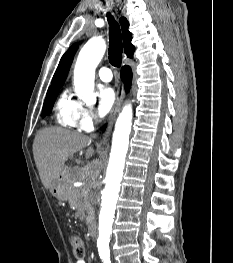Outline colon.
Segmentation results:
<instances>
[{
    "mask_svg": "<svg viewBox=\"0 0 233 263\" xmlns=\"http://www.w3.org/2000/svg\"><path fill=\"white\" fill-rule=\"evenodd\" d=\"M71 245L73 248L74 258L81 260L85 257V244L79 235L73 234L70 236Z\"/></svg>",
    "mask_w": 233,
    "mask_h": 263,
    "instance_id": "obj_1",
    "label": "colon"
}]
</instances>
